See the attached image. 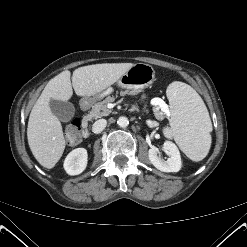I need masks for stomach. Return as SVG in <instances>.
Segmentation results:
<instances>
[{"instance_id":"0dacf381","label":"stomach","mask_w":247,"mask_h":247,"mask_svg":"<svg viewBox=\"0 0 247 247\" xmlns=\"http://www.w3.org/2000/svg\"><path fill=\"white\" fill-rule=\"evenodd\" d=\"M155 79V71L153 68L144 63L135 64L128 69L118 80V86L134 92L148 87ZM110 90L97 94L96 98H100L109 93Z\"/></svg>"}]
</instances>
